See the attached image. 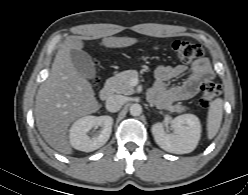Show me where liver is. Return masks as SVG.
<instances>
[{"label":"liver","instance_id":"1","mask_svg":"<svg viewBox=\"0 0 248 195\" xmlns=\"http://www.w3.org/2000/svg\"><path fill=\"white\" fill-rule=\"evenodd\" d=\"M138 40L132 37H104L107 48L128 47ZM80 36H69L59 47L48 78L41 84L35 101V120L44 140L55 150L71 154L68 127L76 119L96 112L98 101L91 84L74 67L70 51L81 50Z\"/></svg>","mask_w":248,"mask_h":195}]
</instances>
